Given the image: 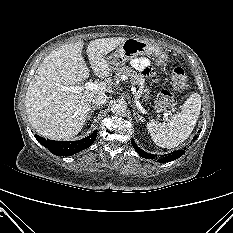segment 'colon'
<instances>
[{"label":"colon","instance_id":"1","mask_svg":"<svg viewBox=\"0 0 233 233\" xmlns=\"http://www.w3.org/2000/svg\"><path fill=\"white\" fill-rule=\"evenodd\" d=\"M172 86L176 91H182L188 86V80L183 68L177 67L172 72ZM176 104V99L170 92L164 90L157 96L156 105L161 111L171 109Z\"/></svg>","mask_w":233,"mask_h":233}]
</instances>
